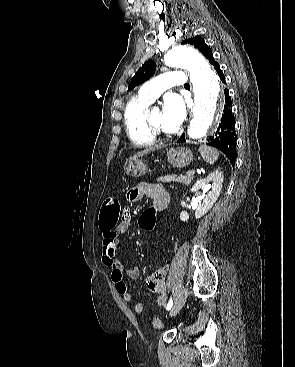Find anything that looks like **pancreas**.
<instances>
[{"instance_id":"pancreas-1","label":"pancreas","mask_w":295,"mask_h":367,"mask_svg":"<svg viewBox=\"0 0 295 367\" xmlns=\"http://www.w3.org/2000/svg\"><path fill=\"white\" fill-rule=\"evenodd\" d=\"M193 180V176H190V175H181V176H177L175 174L173 175H166L164 177H159L157 179L158 182H163V183H166V182H180V183H183L185 185H188L191 183V181Z\"/></svg>"}]
</instances>
